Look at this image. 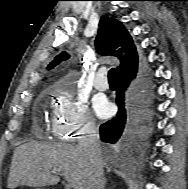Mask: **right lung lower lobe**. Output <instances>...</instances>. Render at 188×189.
Here are the masks:
<instances>
[{"label":"right lung lower lobe","mask_w":188,"mask_h":189,"mask_svg":"<svg viewBox=\"0 0 188 189\" xmlns=\"http://www.w3.org/2000/svg\"><path fill=\"white\" fill-rule=\"evenodd\" d=\"M137 71V70H136ZM136 71L127 75L118 77L117 99L116 103L119 105V112L116 117L107 121L100 126V138L102 141L114 144L121 135L133 137L137 133H144L149 129V126L136 127L135 122L137 119H149L150 111H134L126 115L124 109V91L136 75Z\"/></svg>","instance_id":"1"}]
</instances>
